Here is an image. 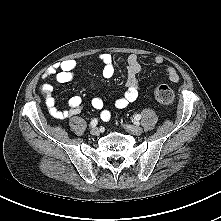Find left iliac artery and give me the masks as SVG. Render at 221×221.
<instances>
[{"label":"left iliac artery","instance_id":"obj_1","mask_svg":"<svg viewBox=\"0 0 221 221\" xmlns=\"http://www.w3.org/2000/svg\"><path fill=\"white\" fill-rule=\"evenodd\" d=\"M140 119H141V115H140V114H137V115L134 117L135 123H137L136 121H139Z\"/></svg>","mask_w":221,"mask_h":221}]
</instances>
